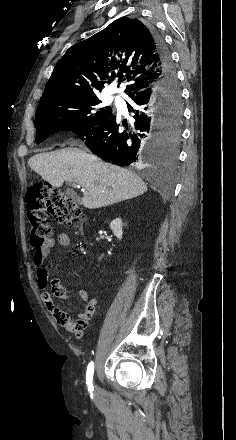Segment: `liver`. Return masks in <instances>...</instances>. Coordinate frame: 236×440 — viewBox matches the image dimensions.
Instances as JSON below:
<instances>
[{"mask_svg":"<svg viewBox=\"0 0 236 440\" xmlns=\"http://www.w3.org/2000/svg\"><path fill=\"white\" fill-rule=\"evenodd\" d=\"M28 165L53 187H61L64 181L82 186V204L89 209L132 199L147 191V185L135 173L74 147L38 153Z\"/></svg>","mask_w":236,"mask_h":440,"instance_id":"6515ba94","label":"liver"}]
</instances>
